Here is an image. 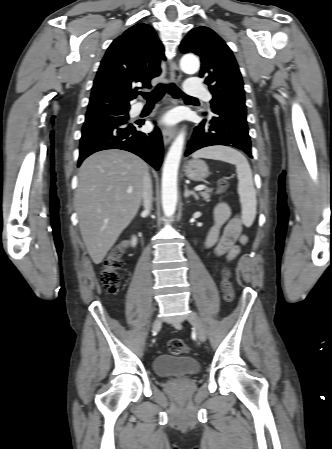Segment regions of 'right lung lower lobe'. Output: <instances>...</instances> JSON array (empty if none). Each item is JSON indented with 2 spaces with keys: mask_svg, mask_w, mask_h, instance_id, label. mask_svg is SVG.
<instances>
[{
  "mask_svg": "<svg viewBox=\"0 0 332 449\" xmlns=\"http://www.w3.org/2000/svg\"><path fill=\"white\" fill-rule=\"evenodd\" d=\"M128 120L129 118H114L84 124L78 166L86 157L97 151L122 149L140 156L158 170L163 156L160 130L156 127L151 133H143L137 128L141 127L144 121L131 124Z\"/></svg>",
  "mask_w": 332,
  "mask_h": 449,
  "instance_id": "right-lung-lower-lobe-1",
  "label": "right lung lower lobe"
}]
</instances>
